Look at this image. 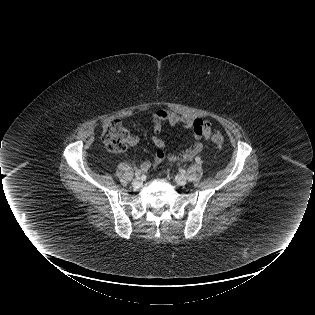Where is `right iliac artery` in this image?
<instances>
[{
	"label": "right iliac artery",
	"instance_id": "obj_1",
	"mask_svg": "<svg viewBox=\"0 0 315 315\" xmlns=\"http://www.w3.org/2000/svg\"><path fill=\"white\" fill-rule=\"evenodd\" d=\"M140 175H141V171H140V170H136L135 176H136V177H139Z\"/></svg>",
	"mask_w": 315,
	"mask_h": 315
}]
</instances>
